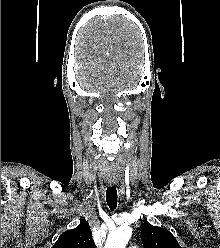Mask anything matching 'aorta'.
<instances>
[{"instance_id": "1", "label": "aorta", "mask_w": 220, "mask_h": 248, "mask_svg": "<svg viewBox=\"0 0 220 248\" xmlns=\"http://www.w3.org/2000/svg\"><path fill=\"white\" fill-rule=\"evenodd\" d=\"M132 235V229L128 225L119 227L108 235L105 248H125Z\"/></svg>"}]
</instances>
